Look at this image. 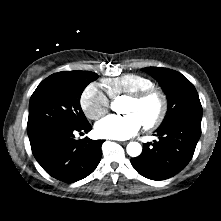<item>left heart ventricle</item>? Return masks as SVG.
<instances>
[{
    "label": "left heart ventricle",
    "instance_id": "b2bd125f",
    "mask_svg": "<svg viewBox=\"0 0 221 221\" xmlns=\"http://www.w3.org/2000/svg\"><path fill=\"white\" fill-rule=\"evenodd\" d=\"M158 109L159 102L156 98H150L142 103H135L127 99L123 107V113H135L144 123L154 118Z\"/></svg>",
    "mask_w": 221,
    "mask_h": 221
}]
</instances>
